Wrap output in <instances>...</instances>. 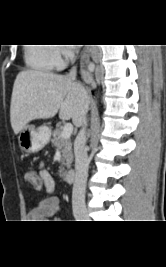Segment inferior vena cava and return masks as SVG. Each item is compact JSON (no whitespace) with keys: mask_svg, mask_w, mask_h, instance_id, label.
<instances>
[{"mask_svg":"<svg viewBox=\"0 0 166 267\" xmlns=\"http://www.w3.org/2000/svg\"><path fill=\"white\" fill-rule=\"evenodd\" d=\"M67 76L72 80H75L76 78L75 66L72 67ZM86 113L84 114L82 119V124H81L82 129L79 131L74 143L75 179L72 191V207L74 212L83 211L85 208V189H86V180L89 167V159L87 151L85 149L86 126H87Z\"/></svg>","mask_w":166,"mask_h":267,"instance_id":"obj_1","label":"inferior vena cava"}]
</instances>
